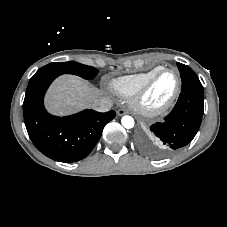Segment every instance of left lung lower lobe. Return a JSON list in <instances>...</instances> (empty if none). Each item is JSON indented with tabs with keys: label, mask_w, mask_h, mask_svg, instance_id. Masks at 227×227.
<instances>
[{
	"label": "left lung lower lobe",
	"mask_w": 227,
	"mask_h": 227,
	"mask_svg": "<svg viewBox=\"0 0 227 227\" xmlns=\"http://www.w3.org/2000/svg\"><path fill=\"white\" fill-rule=\"evenodd\" d=\"M203 116V91L182 89L172 111L139 133V147L148 155L162 157L179 151L196 135Z\"/></svg>",
	"instance_id": "left-lung-lower-lobe-1"
}]
</instances>
